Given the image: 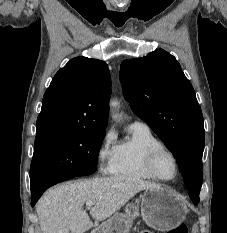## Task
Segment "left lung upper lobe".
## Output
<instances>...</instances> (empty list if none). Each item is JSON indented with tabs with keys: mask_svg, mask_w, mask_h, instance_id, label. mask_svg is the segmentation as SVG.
Here are the masks:
<instances>
[{
	"mask_svg": "<svg viewBox=\"0 0 227 233\" xmlns=\"http://www.w3.org/2000/svg\"><path fill=\"white\" fill-rule=\"evenodd\" d=\"M119 77L133 112L173 153L191 200L199 202L204 122L194 89L180 64L158 49L145 57L123 61Z\"/></svg>",
	"mask_w": 227,
	"mask_h": 233,
	"instance_id": "obj_1",
	"label": "left lung upper lobe"
}]
</instances>
